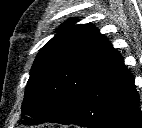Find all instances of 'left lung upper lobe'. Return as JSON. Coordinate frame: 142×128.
<instances>
[{"label":"left lung upper lobe","instance_id":"obj_1","mask_svg":"<svg viewBox=\"0 0 142 128\" xmlns=\"http://www.w3.org/2000/svg\"><path fill=\"white\" fill-rule=\"evenodd\" d=\"M75 21H66L38 53L21 107L23 124L66 117L85 86L119 56L94 25Z\"/></svg>","mask_w":142,"mask_h":128}]
</instances>
